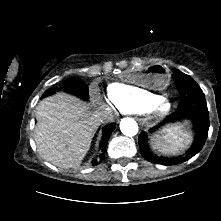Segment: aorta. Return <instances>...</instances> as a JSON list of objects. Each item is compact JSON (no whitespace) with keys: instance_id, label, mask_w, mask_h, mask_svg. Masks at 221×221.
Here are the masks:
<instances>
[{"instance_id":"1","label":"aorta","mask_w":221,"mask_h":221,"mask_svg":"<svg viewBox=\"0 0 221 221\" xmlns=\"http://www.w3.org/2000/svg\"><path fill=\"white\" fill-rule=\"evenodd\" d=\"M120 130L124 135L132 137L138 133V124L132 118H123L120 122Z\"/></svg>"}]
</instances>
